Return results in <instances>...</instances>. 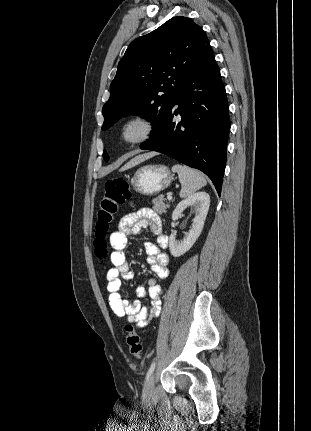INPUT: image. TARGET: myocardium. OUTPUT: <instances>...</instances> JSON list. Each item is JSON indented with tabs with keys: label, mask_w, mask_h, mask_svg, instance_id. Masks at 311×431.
<instances>
[{
	"label": "myocardium",
	"mask_w": 311,
	"mask_h": 431,
	"mask_svg": "<svg viewBox=\"0 0 311 431\" xmlns=\"http://www.w3.org/2000/svg\"><path fill=\"white\" fill-rule=\"evenodd\" d=\"M131 121H140L144 124L145 126V132L137 137V138H133V139H127L122 135V128L123 126ZM159 132V123L157 121V119L147 113V112H133L130 113L124 117H122L117 125H116V135L119 138V140L127 145V146H139V145H143L149 141H151L152 139H154L156 137V135Z\"/></svg>",
	"instance_id": "myocardium-1"
}]
</instances>
